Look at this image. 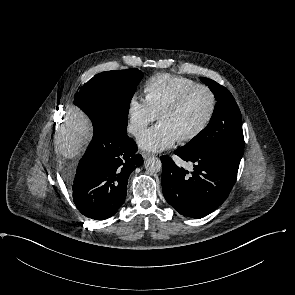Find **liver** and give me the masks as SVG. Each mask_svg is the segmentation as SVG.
I'll use <instances>...</instances> for the list:
<instances>
[{"label":"liver","mask_w":295,"mask_h":295,"mask_svg":"<svg viewBox=\"0 0 295 295\" xmlns=\"http://www.w3.org/2000/svg\"><path fill=\"white\" fill-rule=\"evenodd\" d=\"M92 127L84 113L68 106L55 140L56 149L65 158H76L91 139Z\"/></svg>","instance_id":"1"}]
</instances>
